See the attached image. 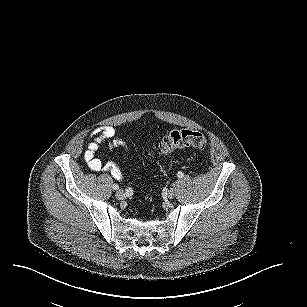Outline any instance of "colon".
Listing matches in <instances>:
<instances>
[{"mask_svg":"<svg viewBox=\"0 0 307 307\" xmlns=\"http://www.w3.org/2000/svg\"><path fill=\"white\" fill-rule=\"evenodd\" d=\"M208 144L204 134L195 130L176 129L163 137L158 145V153L167 155L174 150L193 147L204 149Z\"/></svg>","mask_w":307,"mask_h":307,"instance_id":"obj_1","label":"colon"}]
</instances>
